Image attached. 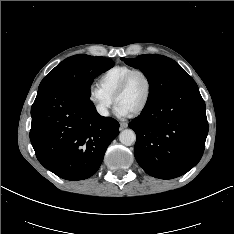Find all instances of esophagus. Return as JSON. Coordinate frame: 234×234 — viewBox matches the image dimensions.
I'll list each match as a JSON object with an SVG mask.
<instances>
[{"label": "esophagus", "mask_w": 234, "mask_h": 234, "mask_svg": "<svg viewBox=\"0 0 234 234\" xmlns=\"http://www.w3.org/2000/svg\"><path fill=\"white\" fill-rule=\"evenodd\" d=\"M128 124L126 122H120V130L127 128Z\"/></svg>", "instance_id": "esophagus-1"}]
</instances>
